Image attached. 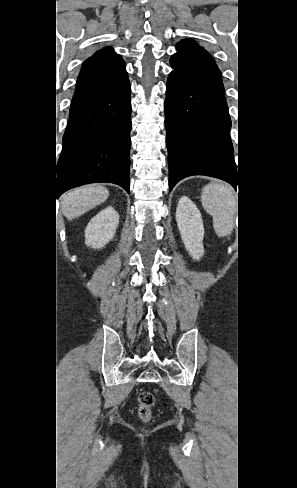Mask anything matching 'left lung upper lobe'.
<instances>
[{
  "label": "left lung upper lobe",
  "instance_id": "5c2ea615",
  "mask_svg": "<svg viewBox=\"0 0 297 488\" xmlns=\"http://www.w3.org/2000/svg\"><path fill=\"white\" fill-rule=\"evenodd\" d=\"M177 52L170 63L174 71L201 89L225 101L221 72L212 56L191 39L177 44Z\"/></svg>",
  "mask_w": 297,
  "mask_h": 488
}]
</instances>
